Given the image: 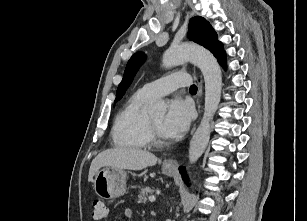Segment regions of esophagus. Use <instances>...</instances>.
Returning a JSON list of instances; mask_svg holds the SVG:
<instances>
[{"label": "esophagus", "instance_id": "1", "mask_svg": "<svg viewBox=\"0 0 307 221\" xmlns=\"http://www.w3.org/2000/svg\"><path fill=\"white\" fill-rule=\"evenodd\" d=\"M200 91H201V89H200V87H199V90H198V95L200 94ZM198 112L200 113L201 111H200V107L198 106ZM164 166H166V167H170V168H176L177 166H178V163H177V161L175 160V159H165V161H164Z\"/></svg>", "mask_w": 307, "mask_h": 221}]
</instances>
